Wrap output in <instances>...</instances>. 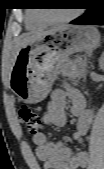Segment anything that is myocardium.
Masks as SVG:
<instances>
[{"instance_id":"myocardium-1","label":"myocardium","mask_w":104,"mask_h":169,"mask_svg":"<svg viewBox=\"0 0 104 169\" xmlns=\"http://www.w3.org/2000/svg\"><path fill=\"white\" fill-rule=\"evenodd\" d=\"M77 15H78V12L74 11L72 14L67 15L65 17H62V18L52 19V18H49V17L44 16V15H39V18L46 23L58 24V23L69 22V21L75 19L77 17Z\"/></svg>"}]
</instances>
